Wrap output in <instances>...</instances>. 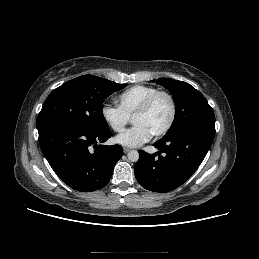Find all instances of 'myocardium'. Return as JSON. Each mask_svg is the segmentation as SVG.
<instances>
[{
	"instance_id": "1",
	"label": "myocardium",
	"mask_w": 259,
	"mask_h": 259,
	"mask_svg": "<svg viewBox=\"0 0 259 259\" xmlns=\"http://www.w3.org/2000/svg\"><path fill=\"white\" fill-rule=\"evenodd\" d=\"M161 96L166 97L171 105V115L169 118V121L167 122V124L158 132H156L155 134H153L154 137H161L164 136L166 133L169 132V130L172 128L175 119H176V114H177V105H176V101L173 97V95L167 91H157L154 94H152L151 96H149L144 102L143 104L139 107V109L134 113V115L132 116V118L136 117V116H141L146 114L150 108L152 107V105L154 104V102Z\"/></svg>"
}]
</instances>
